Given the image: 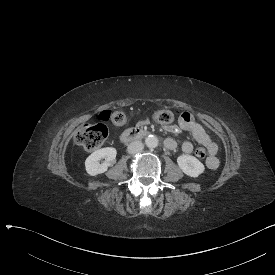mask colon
Here are the masks:
<instances>
[{
  "mask_svg": "<svg viewBox=\"0 0 275 275\" xmlns=\"http://www.w3.org/2000/svg\"><path fill=\"white\" fill-rule=\"evenodd\" d=\"M147 114L149 120L158 124H169L176 119L175 113L171 110L149 111ZM102 117L110 119L115 124H122L125 121V116L122 112H114L112 114L104 112ZM107 136L108 131L102 125H82L76 134V140L86 152H95L103 146ZM195 155L199 159H204L207 155L206 149L197 147Z\"/></svg>",
  "mask_w": 275,
  "mask_h": 275,
  "instance_id": "5ec220e1",
  "label": "colon"
}]
</instances>
